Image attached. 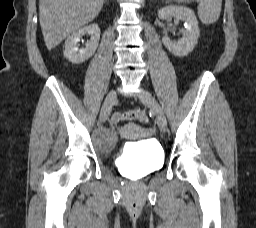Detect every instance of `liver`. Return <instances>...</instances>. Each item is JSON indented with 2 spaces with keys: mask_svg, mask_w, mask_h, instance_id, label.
<instances>
[{
  "mask_svg": "<svg viewBox=\"0 0 256 228\" xmlns=\"http://www.w3.org/2000/svg\"><path fill=\"white\" fill-rule=\"evenodd\" d=\"M104 0H39V20L48 50L94 20Z\"/></svg>",
  "mask_w": 256,
  "mask_h": 228,
  "instance_id": "6515ba94",
  "label": "liver"
}]
</instances>
